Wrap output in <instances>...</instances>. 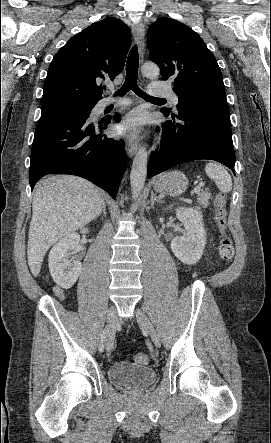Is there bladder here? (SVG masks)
<instances>
[{"mask_svg": "<svg viewBox=\"0 0 271 443\" xmlns=\"http://www.w3.org/2000/svg\"><path fill=\"white\" fill-rule=\"evenodd\" d=\"M156 376L153 368L127 361L113 363L108 369V378L112 384L131 391L149 387L155 382Z\"/></svg>", "mask_w": 271, "mask_h": 443, "instance_id": "obj_1", "label": "bladder"}]
</instances>
